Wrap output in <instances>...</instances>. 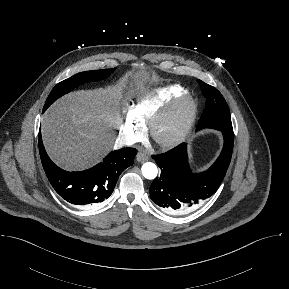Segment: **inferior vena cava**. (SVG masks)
Here are the masks:
<instances>
[{
    "label": "inferior vena cava",
    "instance_id": "inferior-vena-cava-1",
    "mask_svg": "<svg viewBox=\"0 0 289 289\" xmlns=\"http://www.w3.org/2000/svg\"><path fill=\"white\" fill-rule=\"evenodd\" d=\"M135 143V140L132 137H129L126 134H120L116 139L115 147H121L124 145L131 146Z\"/></svg>",
    "mask_w": 289,
    "mask_h": 289
}]
</instances>
